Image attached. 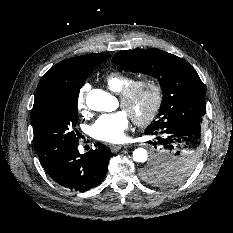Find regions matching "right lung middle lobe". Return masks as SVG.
Returning a JSON list of instances; mask_svg holds the SVG:
<instances>
[{"mask_svg":"<svg viewBox=\"0 0 233 233\" xmlns=\"http://www.w3.org/2000/svg\"><path fill=\"white\" fill-rule=\"evenodd\" d=\"M82 81L70 93L51 95L32 109L35 149L39 158L59 153L78 143L79 134L74 131L78 123V95Z\"/></svg>","mask_w":233,"mask_h":233,"instance_id":"dd1d6c3e","label":"right lung middle lobe"}]
</instances>
